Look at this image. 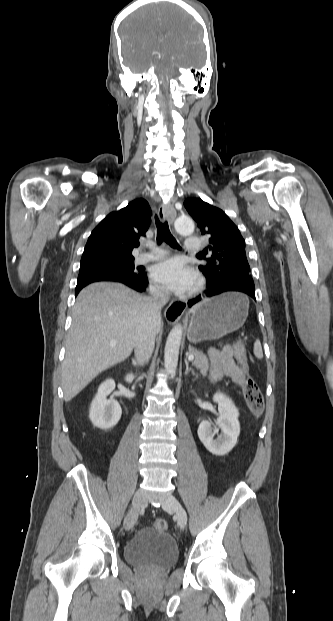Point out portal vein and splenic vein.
Wrapping results in <instances>:
<instances>
[{"label":"portal vein and splenic vein","instance_id":"18ae733b","mask_svg":"<svg viewBox=\"0 0 333 621\" xmlns=\"http://www.w3.org/2000/svg\"><path fill=\"white\" fill-rule=\"evenodd\" d=\"M194 358H195V357H194V355H192V354L188 355V360H189V361H193V360H194Z\"/></svg>","mask_w":333,"mask_h":621}]
</instances>
